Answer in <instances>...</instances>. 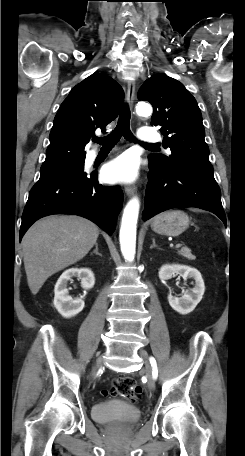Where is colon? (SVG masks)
<instances>
[{
	"instance_id": "5ec220e1",
	"label": "colon",
	"mask_w": 245,
	"mask_h": 456,
	"mask_svg": "<svg viewBox=\"0 0 245 456\" xmlns=\"http://www.w3.org/2000/svg\"><path fill=\"white\" fill-rule=\"evenodd\" d=\"M142 386L129 376H119L113 379L110 389L104 391L106 395H119L130 401L137 402L142 397Z\"/></svg>"
}]
</instances>
